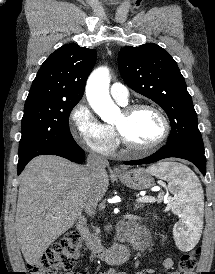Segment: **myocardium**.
Segmentation results:
<instances>
[{"instance_id": "obj_1", "label": "myocardium", "mask_w": 215, "mask_h": 274, "mask_svg": "<svg viewBox=\"0 0 215 274\" xmlns=\"http://www.w3.org/2000/svg\"><path fill=\"white\" fill-rule=\"evenodd\" d=\"M141 109H148L153 112H155L159 118L162 121L163 124V131L162 134L158 139H156L154 142L148 144V145H136L132 143L131 141L128 140V138L124 135L122 130L120 129L119 126L114 124V130L120 140V142L129 150L136 151V152H150L155 150L157 147H159L161 144H163L169 137L170 132H171V124L170 121L165 114V112L158 106L150 103H136V104H131L123 109V113L125 116H129L133 114L134 112L141 110Z\"/></svg>"}]
</instances>
